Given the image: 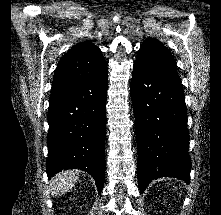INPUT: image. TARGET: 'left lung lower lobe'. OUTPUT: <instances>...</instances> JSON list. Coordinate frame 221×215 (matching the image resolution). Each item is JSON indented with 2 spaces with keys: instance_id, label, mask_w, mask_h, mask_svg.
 I'll return each mask as SVG.
<instances>
[{
  "instance_id": "1",
  "label": "left lung lower lobe",
  "mask_w": 221,
  "mask_h": 215,
  "mask_svg": "<svg viewBox=\"0 0 221 215\" xmlns=\"http://www.w3.org/2000/svg\"><path fill=\"white\" fill-rule=\"evenodd\" d=\"M131 96L140 192L160 176L178 178L189 184V133L180 77L135 61Z\"/></svg>"
}]
</instances>
